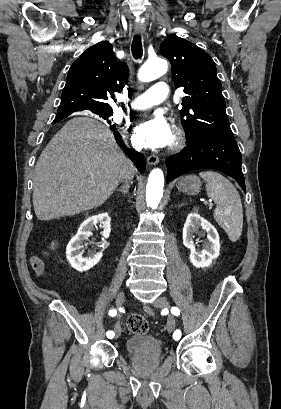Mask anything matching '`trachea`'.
<instances>
[{"label":"trachea","mask_w":281,"mask_h":409,"mask_svg":"<svg viewBox=\"0 0 281 409\" xmlns=\"http://www.w3.org/2000/svg\"><path fill=\"white\" fill-rule=\"evenodd\" d=\"M131 51L135 59H141L143 54V48L140 35H134L131 45Z\"/></svg>","instance_id":"1"}]
</instances>
